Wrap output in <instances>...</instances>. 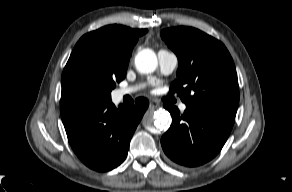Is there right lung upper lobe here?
Returning a JSON list of instances; mask_svg holds the SVG:
<instances>
[{"label": "right lung upper lobe", "mask_w": 292, "mask_h": 192, "mask_svg": "<svg viewBox=\"0 0 292 192\" xmlns=\"http://www.w3.org/2000/svg\"><path fill=\"white\" fill-rule=\"evenodd\" d=\"M146 32L147 29L108 25L82 36L75 48L92 51L102 63L126 74L132 49Z\"/></svg>", "instance_id": "1"}]
</instances>
